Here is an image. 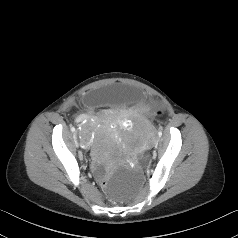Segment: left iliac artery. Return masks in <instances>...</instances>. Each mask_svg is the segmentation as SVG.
Returning <instances> with one entry per match:
<instances>
[{"label":"left iliac artery","instance_id":"left-iliac-artery-1","mask_svg":"<svg viewBox=\"0 0 238 238\" xmlns=\"http://www.w3.org/2000/svg\"><path fill=\"white\" fill-rule=\"evenodd\" d=\"M158 135H159V137H161V136H162V132H161V131H159V132H158Z\"/></svg>","mask_w":238,"mask_h":238}]
</instances>
